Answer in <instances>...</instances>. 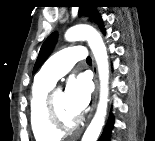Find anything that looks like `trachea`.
<instances>
[{
	"label": "trachea",
	"instance_id": "trachea-1",
	"mask_svg": "<svg viewBox=\"0 0 155 141\" xmlns=\"http://www.w3.org/2000/svg\"><path fill=\"white\" fill-rule=\"evenodd\" d=\"M86 62L87 63H91L92 62L91 58L90 57H87Z\"/></svg>",
	"mask_w": 155,
	"mask_h": 141
}]
</instances>
